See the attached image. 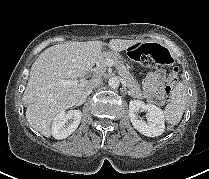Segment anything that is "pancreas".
Returning <instances> with one entry per match:
<instances>
[{
    "label": "pancreas",
    "mask_w": 209,
    "mask_h": 179,
    "mask_svg": "<svg viewBox=\"0 0 209 179\" xmlns=\"http://www.w3.org/2000/svg\"><path fill=\"white\" fill-rule=\"evenodd\" d=\"M110 59L113 62V65L117 68L119 75L125 81L128 88V92L136 98H144L140 86L137 81L134 79L132 74L128 71L125 66L124 59L116 53L105 52L101 54L96 67L97 78L104 77L106 75L107 63L106 61Z\"/></svg>",
    "instance_id": "obj_1"
}]
</instances>
